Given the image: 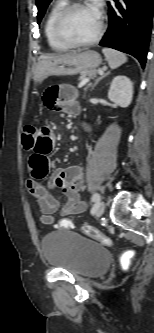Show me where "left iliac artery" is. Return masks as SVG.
Masks as SVG:
<instances>
[{
	"mask_svg": "<svg viewBox=\"0 0 154 333\" xmlns=\"http://www.w3.org/2000/svg\"><path fill=\"white\" fill-rule=\"evenodd\" d=\"M100 200V195L99 193H94L91 197L92 202H98Z\"/></svg>",
	"mask_w": 154,
	"mask_h": 333,
	"instance_id": "1",
	"label": "left iliac artery"
}]
</instances>
